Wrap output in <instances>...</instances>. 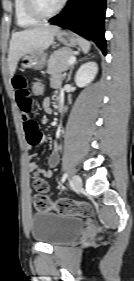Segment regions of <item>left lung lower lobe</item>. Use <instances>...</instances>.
Masks as SVG:
<instances>
[{"label": "left lung lower lobe", "mask_w": 134, "mask_h": 281, "mask_svg": "<svg viewBox=\"0 0 134 281\" xmlns=\"http://www.w3.org/2000/svg\"><path fill=\"white\" fill-rule=\"evenodd\" d=\"M105 11L106 0H69L66 9L49 22L89 37L106 55Z\"/></svg>", "instance_id": "1"}]
</instances>
